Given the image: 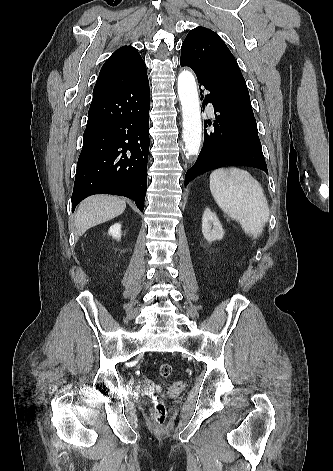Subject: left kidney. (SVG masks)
<instances>
[{
  "instance_id": "1",
  "label": "left kidney",
  "mask_w": 333,
  "mask_h": 471,
  "mask_svg": "<svg viewBox=\"0 0 333 471\" xmlns=\"http://www.w3.org/2000/svg\"><path fill=\"white\" fill-rule=\"evenodd\" d=\"M202 233L209 242L221 240L224 236V230L215 213L206 208L202 217Z\"/></svg>"
}]
</instances>
